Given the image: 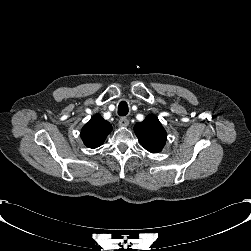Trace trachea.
Listing matches in <instances>:
<instances>
[{"mask_svg":"<svg viewBox=\"0 0 251 251\" xmlns=\"http://www.w3.org/2000/svg\"><path fill=\"white\" fill-rule=\"evenodd\" d=\"M128 111L129 109L127 103L125 101H121L118 105V114L123 117L128 114Z\"/></svg>","mask_w":251,"mask_h":251,"instance_id":"trachea-1","label":"trachea"}]
</instances>
